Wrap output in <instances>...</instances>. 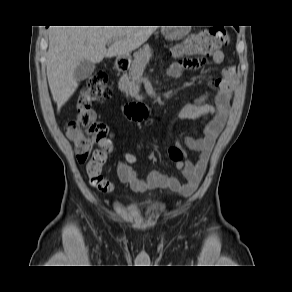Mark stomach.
<instances>
[{"label":"stomach","mask_w":292,"mask_h":292,"mask_svg":"<svg viewBox=\"0 0 292 292\" xmlns=\"http://www.w3.org/2000/svg\"><path fill=\"white\" fill-rule=\"evenodd\" d=\"M184 37V34L182 31L180 30H174V31H170L168 38L172 39V40H178Z\"/></svg>","instance_id":"1"}]
</instances>
